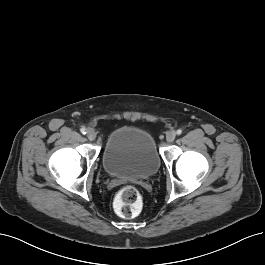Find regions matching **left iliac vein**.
<instances>
[{
    "label": "left iliac vein",
    "mask_w": 265,
    "mask_h": 265,
    "mask_svg": "<svg viewBox=\"0 0 265 265\" xmlns=\"http://www.w3.org/2000/svg\"><path fill=\"white\" fill-rule=\"evenodd\" d=\"M176 138V132L175 131H171L166 135V140L167 142L171 143L175 140Z\"/></svg>",
    "instance_id": "1"
}]
</instances>
